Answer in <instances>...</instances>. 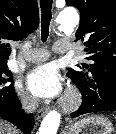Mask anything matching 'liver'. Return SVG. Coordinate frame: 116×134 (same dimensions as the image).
Listing matches in <instances>:
<instances>
[{
    "label": "liver",
    "instance_id": "liver-1",
    "mask_svg": "<svg viewBox=\"0 0 116 134\" xmlns=\"http://www.w3.org/2000/svg\"><path fill=\"white\" fill-rule=\"evenodd\" d=\"M0 134H19V133L18 130H16L10 124L0 121Z\"/></svg>",
    "mask_w": 116,
    "mask_h": 134
}]
</instances>
